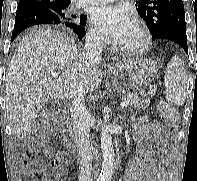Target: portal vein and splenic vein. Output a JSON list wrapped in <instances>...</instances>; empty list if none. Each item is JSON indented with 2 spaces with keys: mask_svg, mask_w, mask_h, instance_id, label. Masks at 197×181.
<instances>
[{
  "mask_svg": "<svg viewBox=\"0 0 197 181\" xmlns=\"http://www.w3.org/2000/svg\"><path fill=\"white\" fill-rule=\"evenodd\" d=\"M59 75H60L59 72L52 73V76H53V77H58ZM127 106H128V102H127V101L121 102V107H122V108H125V107H127Z\"/></svg>",
  "mask_w": 197,
  "mask_h": 181,
  "instance_id": "obj_1",
  "label": "portal vein and splenic vein"
}]
</instances>
